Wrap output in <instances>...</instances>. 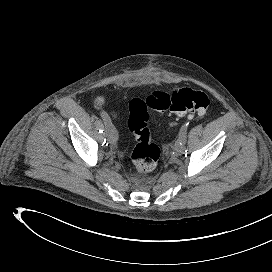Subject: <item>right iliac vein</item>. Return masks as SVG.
I'll use <instances>...</instances> for the list:
<instances>
[{"label":"right iliac vein","mask_w":272,"mask_h":272,"mask_svg":"<svg viewBox=\"0 0 272 272\" xmlns=\"http://www.w3.org/2000/svg\"><path fill=\"white\" fill-rule=\"evenodd\" d=\"M105 128H106V136H107V139H108L111 143H115V142L117 141V139H118V134H117L116 129H115L114 126L112 125L111 120H108V121L106 122Z\"/></svg>","instance_id":"right-iliac-vein-1"}]
</instances>
